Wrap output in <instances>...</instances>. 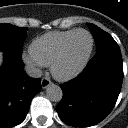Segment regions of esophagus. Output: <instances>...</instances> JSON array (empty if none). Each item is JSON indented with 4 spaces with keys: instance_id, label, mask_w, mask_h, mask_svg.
<instances>
[{
    "instance_id": "esophagus-1",
    "label": "esophagus",
    "mask_w": 128,
    "mask_h": 128,
    "mask_svg": "<svg viewBox=\"0 0 128 128\" xmlns=\"http://www.w3.org/2000/svg\"><path fill=\"white\" fill-rule=\"evenodd\" d=\"M51 84H52V82H51V80L49 78H46V77L42 78L41 86H42L43 89L47 88Z\"/></svg>"
}]
</instances>
